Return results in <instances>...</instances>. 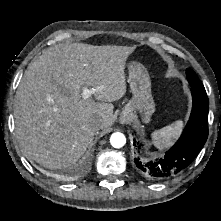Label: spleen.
Masks as SVG:
<instances>
[{"label": "spleen", "mask_w": 221, "mask_h": 221, "mask_svg": "<svg viewBox=\"0 0 221 221\" xmlns=\"http://www.w3.org/2000/svg\"><path fill=\"white\" fill-rule=\"evenodd\" d=\"M183 128V121L178 120L172 124L156 130L152 133V142L160 150L168 147L172 139L178 137Z\"/></svg>", "instance_id": "spleen-1"}]
</instances>
